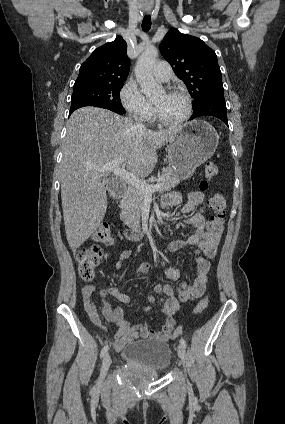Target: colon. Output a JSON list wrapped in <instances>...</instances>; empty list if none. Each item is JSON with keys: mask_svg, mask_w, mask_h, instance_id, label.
<instances>
[{"mask_svg": "<svg viewBox=\"0 0 285 424\" xmlns=\"http://www.w3.org/2000/svg\"><path fill=\"white\" fill-rule=\"evenodd\" d=\"M219 173V168L214 162H208L204 168V179L200 183V190L205 192L208 189V181L216 177ZM209 205L212 209V215L208 222L206 238L202 244V250L206 257L212 258L217 252L222 234L224 231L227 201L223 193L215 192L210 195ZM97 242L104 245H111L113 237L108 225L102 224L98 227L95 233ZM74 258L78 263V272L84 281H91L94 278L96 267L100 264L102 254L100 248L96 245L76 249ZM208 305L206 298L202 299L195 307L196 314L202 313ZM182 333L181 328L174 330L173 336H178Z\"/></svg>", "mask_w": 285, "mask_h": 424, "instance_id": "colon-1", "label": "colon"}]
</instances>
